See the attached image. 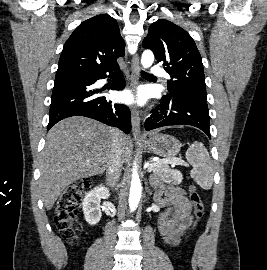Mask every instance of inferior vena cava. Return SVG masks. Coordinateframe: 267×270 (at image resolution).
I'll use <instances>...</instances> for the list:
<instances>
[{
    "label": "inferior vena cava",
    "instance_id": "inferior-vena-cava-1",
    "mask_svg": "<svg viewBox=\"0 0 267 270\" xmlns=\"http://www.w3.org/2000/svg\"><path fill=\"white\" fill-rule=\"evenodd\" d=\"M122 132L115 129V134L112 143L111 155L109 158L106 178L109 186L114 187L119 181L122 167V151L120 138Z\"/></svg>",
    "mask_w": 267,
    "mask_h": 270
}]
</instances>
